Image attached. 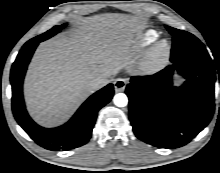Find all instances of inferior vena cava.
<instances>
[{"instance_id":"602c4592","label":"inferior vena cava","mask_w":220,"mask_h":173,"mask_svg":"<svg viewBox=\"0 0 220 173\" xmlns=\"http://www.w3.org/2000/svg\"><path fill=\"white\" fill-rule=\"evenodd\" d=\"M112 81L111 77H98L91 81L94 90L100 89Z\"/></svg>"}]
</instances>
